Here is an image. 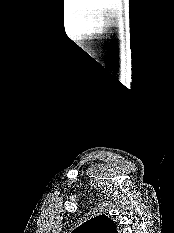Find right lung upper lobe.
I'll return each instance as SVG.
<instances>
[{
  "mask_svg": "<svg viewBox=\"0 0 174 233\" xmlns=\"http://www.w3.org/2000/svg\"><path fill=\"white\" fill-rule=\"evenodd\" d=\"M72 233H118L116 224L104 214L96 216L77 227Z\"/></svg>",
  "mask_w": 174,
  "mask_h": 233,
  "instance_id": "cb5924a9",
  "label": "right lung upper lobe"
}]
</instances>
